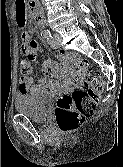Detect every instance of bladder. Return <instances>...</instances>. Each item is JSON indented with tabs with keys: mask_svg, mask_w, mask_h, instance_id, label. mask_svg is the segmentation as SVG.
<instances>
[{
	"mask_svg": "<svg viewBox=\"0 0 123 167\" xmlns=\"http://www.w3.org/2000/svg\"><path fill=\"white\" fill-rule=\"evenodd\" d=\"M15 108L20 115L44 123L52 108V99L48 96L18 95L15 99Z\"/></svg>",
	"mask_w": 123,
	"mask_h": 167,
	"instance_id": "obj_1",
	"label": "bladder"
}]
</instances>
